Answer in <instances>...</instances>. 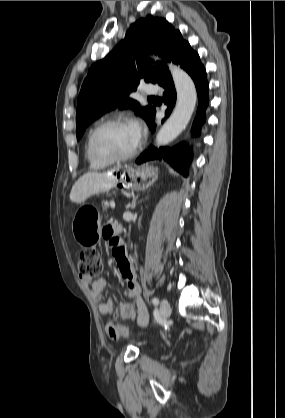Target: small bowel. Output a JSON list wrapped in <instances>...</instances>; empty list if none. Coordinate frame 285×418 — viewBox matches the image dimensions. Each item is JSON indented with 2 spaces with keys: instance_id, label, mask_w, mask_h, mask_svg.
Returning a JSON list of instances; mask_svg holds the SVG:
<instances>
[{
  "instance_id": "small-bowel-1",
  "label": "small bowel",
  "mask_w": 285,
  "mask_h": 418,
  "mask_svg": "<svg viewBox=\"0 0 285 418\" xmlns=\"http://www.w3.org/2000/svg\"><path fill=\"white\" fill-rule=\"evenodd\" d=\"M104 240L107 246L113 251L119 244H123L119 237V233L115 228H109L105 231ZM116 264L120 275L126 281L127 293L135 300V305L130 302H123L118 305L113 300L103 301V292L107 281L105 278H100L91 283V294L94 300L99 301V312L104 316H109L114 312L124 320L136 319L139 324L147 325L149 322V313L147 307L140 296V286L136 275V262L125 258L122 261H117ZM82 282L88 283L90 280L82 279ZM122 335L118 333H110L109 338L118 340Z\"/></svg>"
}]
</instances>
